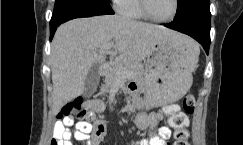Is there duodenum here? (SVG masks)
I'll list each match as a JSON object with an SVG mask.
<instances>
[{
    "instance_id": "410a0bca",
    "label": "duodenum",
    "mask_w": 243,
    "mask_h": 145,
    "mask_svg": "<svg viewBox=\"0 0 243 145\" xmlns=\"http://www.w3.org/2000/svg\"><path fill=\"white\" fill-rule=\"evenodd\" d=\"M107 72H108V66L107 65H102L100 67V70H99L100 75L104 76V75L107 74Z\"/></svg>"
}]
</instances>
